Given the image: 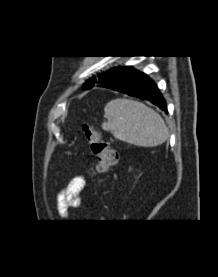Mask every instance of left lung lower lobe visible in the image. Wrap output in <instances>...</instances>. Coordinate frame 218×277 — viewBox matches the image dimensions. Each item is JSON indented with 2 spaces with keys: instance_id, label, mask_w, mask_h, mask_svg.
<instances>
[{
  "instance_id": "obj_1",
  "label": "left lung lower lobe",
  "mask_w": 218,
  "mask_h": 277,
  "mask_svg": "<svg viewBox=\"0 0 218 277\" xmlns=\"http://www.w3.org/2000/svg\"><path fill=\"white\" fill-rule=\"evenodd\" d=\"M100 84L105 88L149 100L168 113L165 100L156 84L146 74L133 70L132 67H124L112 73Z\"/></svg>"
}]
</instances>
